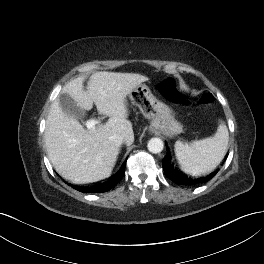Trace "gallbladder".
I'll return each mask as SVG.
<instances>
[{
    "label": "gallbladder",
    "instance_id": "gallbladder-1",
    "mask_svg": "<svg viewBox=\"0 0 264 264\" xmlns=\"http://www.w3.org/2000/svg\"><path fill=\"white\" fill-rule=\"evenodd\" d=\"M58 99L62 111L68 117L82 119L85 116V111L67 93H61Z\"/></svg>",
    "mask_w": 264,
    "mask_h": 264
}]
</instances>
